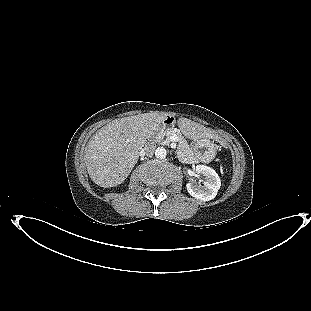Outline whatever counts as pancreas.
Returning a JSON list of instances; mask_svg holds the SVG:
<instances>
[{"label":"pancreas","instance_id":"1","mask_svg":"<svg viewBox=\"0 0 311 311\" xmlns=\"http://www.w3.org/2000/svg\"><path fill=\"white\" fill-rule=\"evenodd\" d=\"M177 135L178 137V151L177 153L186 159L187 163H191L196 161V157L194 156L191 148L188 145V142L182 136L180 130L178 129H167L161 133V136L155 137V141L158 143L168 144L170 142V137L172 135ZM165 138V139H164Z\"/></svg>","mask_w":311,"mask_h":311}]
</instances>
